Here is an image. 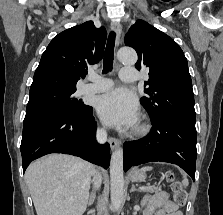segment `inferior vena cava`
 Returning <instances> with one entry per match:
<instances>
[{
    "instance_id": "obj_1",
    "label": "inferior vena cava",
    "mask_w": 223,
    "mask_h": 215,
    "mask_svg": "<svg viewBox=\"0 0 223 215\" xmlns=\"http://www.w3.org/2000/svg\"><path fill=\"white\" fill-rule=\"evenodd\" d=\"M96 137L98 139V141H101V143H103V141H106L107 139V131L106 129H97V133H96ZM93 175H94V183L96 185V187H99V185H101V175L100 173H97V171H93Z\"/></svg>"
}]
</instances>
